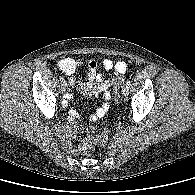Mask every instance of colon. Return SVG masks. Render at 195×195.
I'll use <instances>...</instances> for the list:
<instances>
[{
    "instance_id": "colon-1",
    "label": "colon",
    "mask_w": 195,
    "mask_h": 195,
    "mask_svg": "<svg viewBox=\"0 0 195 195\" xmlns=\"http://www.w3.org/2000/svg\"><path fill=\"white\" fill-rule=\"evenodd\" d=\"M120 82L121 79L118 78L114 83V87H113V96L116 103L120 99V88H119ZM73 134L75 139L81 142V145L79 146V150L81 152H85L90 147L91 141L103 144L106 143L108 140L107 128H105L100 135L91 138L87 128H85L84 126L74 125Z\"/></svg>"
}]
</instances>
